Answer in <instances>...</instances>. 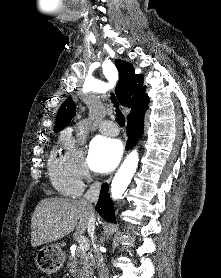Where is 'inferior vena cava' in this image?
Masks as SVG:
<instances>
[{"label": "inferior vena cava", "mask_w": 221, "mask_h": 278, "mask_svg": "<svg viewBox=\"0 0 221 278\" xmlns=\"http://www.w3.org/2000/svg\"><path fill=\"white\" fill-rule=\"evenodd\" d=\"M99 193H100V183L94 182L84 195V199H85L84 201L89 204V207L91 209V215L87 224V232L92 240V244L95 247V249H96V238H95L96 218H95L94 208L92 203H96L98 201ZM92 262L93 264L96 265L98 269L99 278H109V271L105 263L103 262V256L97 250L95 252V255L93 256Z\"/></svg>", "instance_id": "inferior-vena-cava-1"}]
</instances>
